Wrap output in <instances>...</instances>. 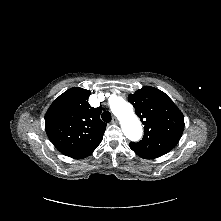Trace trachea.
<instances>
[{"mask_svg":"<svg viewBox=\"0 0 221 221\" xmlns=\"http://www.w3.org/2000/svg\"><path fill=\"white\" fill-rule=\"evenodd\" d=\"M101 117H102L103 121L107 122V123L110 122L112 119L111 113L109 111L103 112Z\"/></svg>","mask_w":221,"mask_h":221,"instance_id":"3493384b","label":"trachea"}]
</instances>
